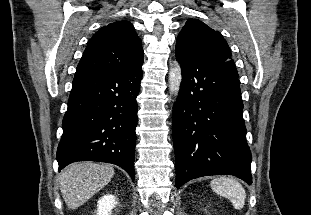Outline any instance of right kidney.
<instances>
[{
	"label": "right kidney",
	"instance_id": "right-kidney-1",
	"mask_svg": "<svg viewBox=\"0 0 311 215\" xmlns=\"http://www.w3.org/2000/svg\"><path fill=\"white\" fill-rule=\"evenodd\" d=\"M115 204V196L111 194L104 195L98 200L96 215H111V211L115 207Z\"/></svg>",
	"mask_w": 311,
	"mask_h": 215
}]
</instances>
